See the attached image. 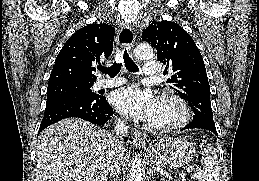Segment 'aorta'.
<instances>
[{
    "instance_id": "aorta-1",
    "label": "aorta",
    "mask_w": 259,
    "mask_h": 181,
    "mask_svg": "<svg viewBox=\"0 0 259 181\" xmlns=\"http://www.w3.org/2000/svg\"><path fill=\"white\" fill-rule=\"evenodd\" d=\"M135 55L141 59H150L153 57V50L149 44L141 43L136 46ZM128 181H143L142 163L139 155H136L135 159H133Z\"/></svg>"
}]
</instances>
